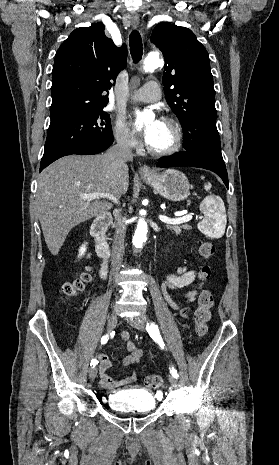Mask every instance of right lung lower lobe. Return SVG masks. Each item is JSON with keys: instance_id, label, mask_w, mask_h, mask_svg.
<instances>
[{"instance_id": "right-lung-lower-lobe-1", "label": "right lung lower lobe", "mask_w": 279, "mask_h": 465, "mask_svg": "<svg viewBox=\"0 0 279 465\" xmlns=\"http://www.w3.org/2000/svg\"><path fill=\"white\" fill-rule=\"evenodd\" d=\"M113 142L109 144H89V145H81L72 149H69L59 156L53 158L52 160L48 161L45 164L40 165V172L47 167L49 164H51L53 161L59 159L60 157L66 156V155H71V154H79V155H92V154H97L102 151H105Z\"/></svg>"}]
</instances>
